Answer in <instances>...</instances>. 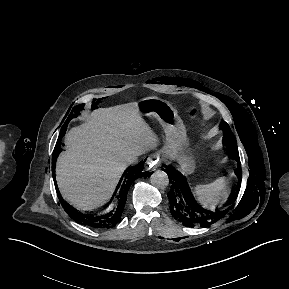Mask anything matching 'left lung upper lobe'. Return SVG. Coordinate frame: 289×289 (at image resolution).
I'll return each mask as SVG.
<instances>
[{"label":"left lung upper lobe","mask_w":289,"mask_h":289,"mask_svg":"<svg viewBox=\"0 0 289 289\" xmlns=\"http://www.w3.org/2000/svg\"><path fill=\"white\" fill-rule=\"evenodd\" d=\"M220 129L225 133L223 138V144L230 147L229 157L231 159H235L237 162L240 161L238 148L229 125L226 122L222 121V123L220 124Z\"/></svg>","instance_id":"obj_1"}]
</instances>
